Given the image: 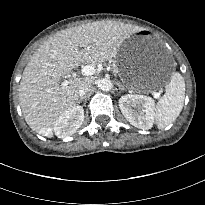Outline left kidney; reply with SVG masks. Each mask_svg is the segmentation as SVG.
<instances>
[{"mask_svg":"<svg viewBox=\"0 0 205 205\" xmlns=\"http://www.w3.org/2000/svg\"><path fill=\"white\" fill-rule=\"evenodd\" d=\"M119 107L124 117L133 126L148 130L155 119L154 100L145 95L127 94L119 99Z\"/></svg>","mask_w":205,"mask_h":205,"instance_id":"left-kidney-1","label":"left kidney"}]
</instances>
